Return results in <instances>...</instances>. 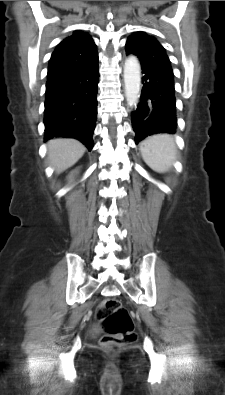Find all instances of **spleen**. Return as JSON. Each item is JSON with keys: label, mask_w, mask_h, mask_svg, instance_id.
I'll return each mask as SVG.
<instances>
[{"label": "spleen", "mask_w": 225, "mask_h": 395, "mask_svg": "<svg viewBox=\"0 0 225 395\" xmlns=\"http://www.w3.org/2000/svg\"><path fill=\"white\" fill-rule=\"evenodd\" d=\"M145 163L154 171H168L176 160V144L168 134H158L146 138L140 145Z\"/></svg>", "instance_id": "obj_1"}]
</instances>
